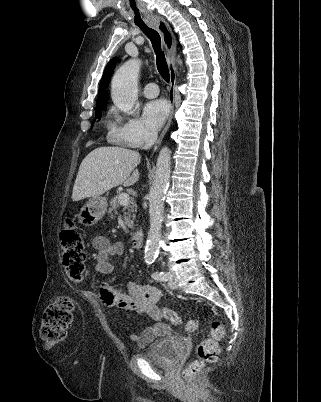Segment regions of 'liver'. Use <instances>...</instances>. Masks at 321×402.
<instances>
[{"label": "liver", "mask_w": 321, "mask_h": 402, "mask_svg": "<svg viewBox=\"0 0 321 402\" xmlns=\"http://www.w3.org/2000/svg\"><path fill=\"white\" fill-rule=\"evenodd\" d=\"M141 161L137 151L122 147H98L81 162L72 200L100 196L119 185L130 186L139 179L135 169Z\"/></svg>", "instance_id": "1"}]
</instances>
